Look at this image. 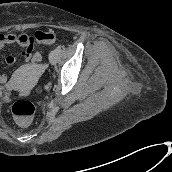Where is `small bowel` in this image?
I'll return each mask as SVG.
<instances>
[{
    "label": "small bowel",
    "mask_w": 172,
    "mask_h": 172,
    "mask_svg": "<svg viewBox=\"0 0 172 172\" xmlns=\"http://www.w3.org/2000/svg\"><path fill=\"white\" fill-rule=\"evenodd\" d=\"M45 32L46 31H37L33 35L24 33H0V50L7 47L19 45L20 47H22V51L20 52L21 58H23L26 62H38L41 60V54L38 51L34 52V48L36 44H49L40 41V38L43 36ZM17 60V55H9L5 59L8 65L15 64ZM6 81L7 75H0V83H4Z\"/></svg>",
    "instance_id": "small-bowel-1"
}]
</instances>
